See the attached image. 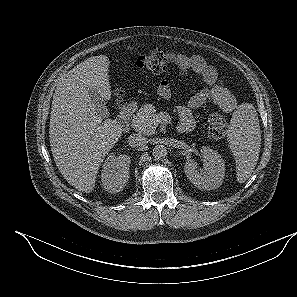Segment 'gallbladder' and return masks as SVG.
Returning <instances> with one entry per match:
<instances>
[{"instance_id":"gallbladder-1","label":"gallbladder","mask_w":297,"mask_h":297,"mask_svg":"<svg viewBox=\"0 0 297 297\" xmlns=\"http://www.w3.org/2000/svg\"><path fill=\"white\" fill-rule=\"evenodd\" d=\"M88 94L92 99V102L95 104L99 114L103 118L109 117V111L107 109L105 100L101 97L98 91L94 88H88Z\"/></svg>"}]
</instances>
